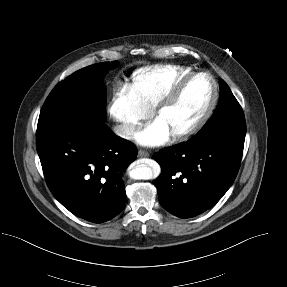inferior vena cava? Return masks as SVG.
<instances>
[{
    "label": "inferior vena cava",
    "instance_id": "inferior-vena-cava-1",
    "mask_svg": "<svg viewBox=\"0 0 287 287\" xmlns=\"http://www.w3.org/2000/svg\"><path fill=\"white\" fill-rule=\"evenodd\" d=\"M113 130L118 136L124 139H132L136 133L135 126L132 124L117 125Z\"/></svg>",
    "mask_w": 287,
    "mask_h": 287
}]
</instances>
